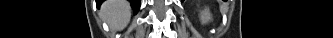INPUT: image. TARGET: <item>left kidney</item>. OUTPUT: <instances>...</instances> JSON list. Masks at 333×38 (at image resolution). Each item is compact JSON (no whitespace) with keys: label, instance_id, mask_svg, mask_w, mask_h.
Instances as JSON below:
<instances>
[{"label":"left kidney","instance_id":"1","mask_svg":"<svg viewBox=\"0 0 333 38\" xmlns=\"http://www.w3.org/2000/svg\"><path fill=\"white\" fill-rule=\"evenodd\" d=\"M200 19H201L202 24H207L211 21L212 16L209 12V9H204L201 11Z\"/></svg>","mask_w":333,"mask_h":38}]
</instances>
